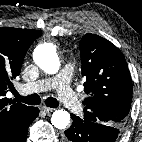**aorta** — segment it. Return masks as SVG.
Returning <instances> with one entry per match:
<instances>
[{
  "label": "aorta",
  "instance_id": "1",
  "mask_svg": "<svg viewBox=\"0 0 142 142\" xmlns=\"http://www.w3.org/2000/svg\"><path fill=\"white\" fill-rule=\"evenodd\" d=\"M33 58L35 63L48 74H55L59 70V57L52 43L38 45L34 50ZM51 123L57 129H64L70 123V114L65 110H56L51 116Z\"/></svg>",
  "mask_w": 142,
  "mask_h": 142
}]
</instances>
